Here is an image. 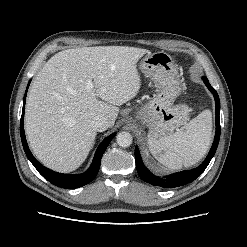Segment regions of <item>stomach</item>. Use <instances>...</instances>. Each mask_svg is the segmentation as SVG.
I'll use <instances>...</instances> for the list:
<instances>
[{"instance_id":"obj_1","label":"stomach","mask_w":247,"mask_h":247,"mask_svg":"<svg viewBox=\"0 0 247 247\" xmlns=\"http://www.w3.org/2000/svg\"><path fill=\"white\" fill-rule=\"evenodd\" d=\"M139 67L157 89L153 98L134 113L133 121L141 131L148 128V135L170 134L188 117L186 106L174 104L182 91V81L173 58L163 51L149 53L141 60Z\"/></svg>"}]
</instances>
